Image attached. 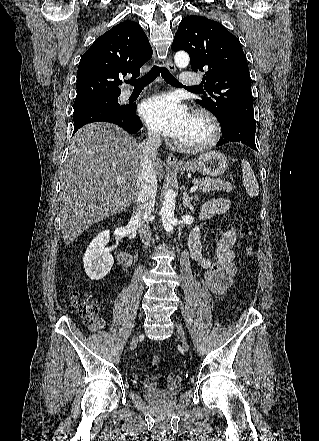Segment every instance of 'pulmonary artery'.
I'll use <instances>...</instances> for the list:
<instances>
[{"instance_id":"pulmonary-artery-1","label":"pulmonary artery","mask_w":319,"mask_h":441,"mask_svg":"<svg viewBox=\"0 0 319 441\" xmlns=\"http://www.w3.org/2000/svg\"><path fill=\"white\" fill-rule=\"evenodd\" d=\"M183 87H193L201 83V76L196 73L184 72L180 76V82Z\"/></svg>"}]
</instances>
